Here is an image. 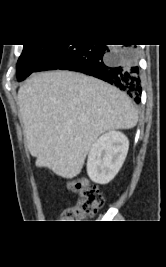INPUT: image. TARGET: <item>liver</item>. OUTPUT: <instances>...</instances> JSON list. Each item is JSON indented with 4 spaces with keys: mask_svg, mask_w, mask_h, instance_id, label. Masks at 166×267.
<instances>
[{
    "mask_svg": "<svg viewBox=\"0 0 166 267\" xmlns=\"http://www.w3.org/2000/svg\"><path fill=\"white\" fill-rule=\"evenodd\" d=\"M28 149L38 167L71 179L97 138L131 129L138 112L130 98L93 77L69 71L34 74L18 91Z\"/></svg>",
    "mask_w": 166,
    "mask_h": 267,
    "instance_id": "liver-1",
    "label": "liver"
}]
</instances>
